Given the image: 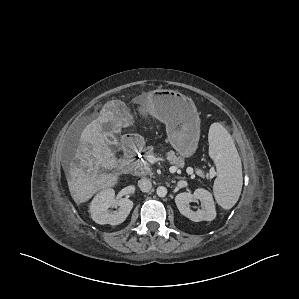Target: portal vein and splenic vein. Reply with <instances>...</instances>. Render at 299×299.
<instances>
[{
    "mask_svg": "<svg viewBox=\"0 0 299 299\" xmlns=\"http://www.w3.org/2000/svg\"><path fill=\"white\" fill-rule=\"evenodd\" d=\"M152 159L155 160L154 157H152ZM176 170H177V168H176L175 166H171V167H170V172H171V173L176 172ZM187 173L192 175V174L194 173L193 168H192V167H188V168H187Z\"/></svg>",
    "mask_w": 299,
    "mask_h": 299,
    "instance_id": "portal-vein-and-splenic-vein-1",
    "label": "portal vein and splenic vein"
}]
</instances>
